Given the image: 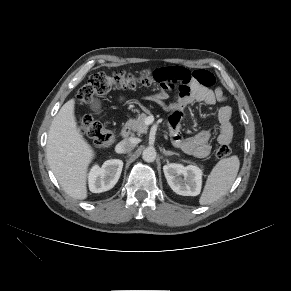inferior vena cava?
Segmentation results:
<instances>
[{"instance_id": "obj_1", "label": "inferior vena cava", "mask_w": 291, "mask_h": 291, "mask_svg": "<svg viewBox=\"0 0 291 291\" xmlns=\"http://www.w3.org/2000/svg\"><path fill=\"white\" fill-rule=\"evenodd\" d=\"M135 146L136 141L133 138L124 139L117 145V151L119 153H128L132 151Z\"/></svg>"}]
</instances>
